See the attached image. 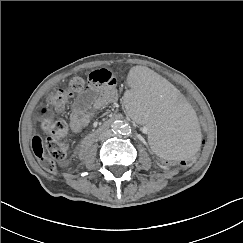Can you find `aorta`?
<instances>
[{
	"mask_svg": "<svg viewBox=\"0 0 243 243\" xmlns=\"http://www.w3.org/2000/svg\"><path fill=\"white\" fill-rule=\"evenodd\" d=\"M112 130L117 134L127 135L131 132V127L124 121L116 120L112 124Z\"/></svg>",
	"mask_w": 243,
	"mask_h": 243,
	"instance_id": "obj_1",
	"label": "aorta"
}]
</instances>
